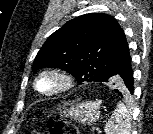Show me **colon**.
Wrapping results in <instances>:
<instances>
[{
    "instance_id": "colon-1",
    "label": "colon",
    "mask_w": 153,
    "mask_h": 134,
    "mask_svg": "<svg viewBox=\"0 0 153 134\" xmlns=\"http://www.w3.org/2000/svg\"><path fill=\"white\" fill-rule=\"evenodd\" d=\"M51 134H79L77 128L71 124H66L61 121L51 120L48 123ZM24 134H41L39 132H26Z\"/></svg>"
}]
</instances>
